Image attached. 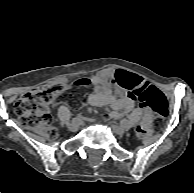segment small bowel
<instances>
[{
  "label": "small bowel",
  "mask_w": 194,
  "mask_h": 193,
  "mask_svg": "<svg viewBox=\"0 0 194 193\" xmlns=\"http://www.w3.org/2000/svg\"><path fill=\"white\" fill-rule=\"evenodd\" d=\"M116 70L106 69L90 77L93 85L92 92L86 98V104L91 106L109 105L113 108L105 117L106 119H118L122 116H130L132 119L142 118L145 121L151 119L148 109L135 107L134 100L128 95H119L118 89L113 85ZM151 85L144 79L137 81L138 89H145ZM161 92V91H160Z\"/></svg>",
  "instance_id": "c3829d8e"
}]
</instances>
